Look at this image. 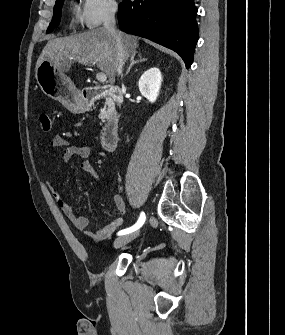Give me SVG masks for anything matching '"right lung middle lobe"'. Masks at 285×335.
<instances>
[{
	"label": "right lung middle lobe",
	"instance_id": "obj_1",
	"mask_svg": "<svg viewBox=\"0 0 285 335\" xmlns=\"http://www.w3.org/2000/svg\"><path fill=\"white\" fill-rule=\"evenodd\" d=\"M63 1L61 3L55 5L54 15H53L52 21H51L46 33L52 32L53 29H55L59 25L60 18H61V8H62V5H63Z\"/></svg>",
	"mask_w": 285,
	"mask_h": 335
}]
</instances>
